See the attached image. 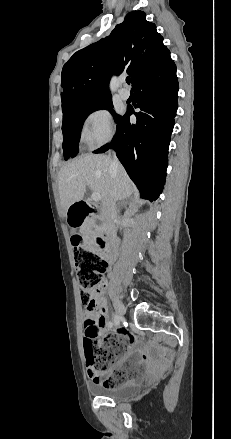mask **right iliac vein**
<instances>
[{
  "label": "right iliac vein",
  "instance_id": "63e3f726",
  "mask_svg": "<svg viewBox=\"0 0 231 439\" xmlns=\"http://www.w3.org/2000/svg\"><path fill=\"white\" fill-rule=\"evenodd\" d=\"M114 306H115V309L117 311V314L115 315L116 318L119 321H122L124 319V317H123L124 307H123L122 303L118 299H114Z\"/></svg>",
  "mask_w": 231,
  "mask_h": 439
}]
</instances>
